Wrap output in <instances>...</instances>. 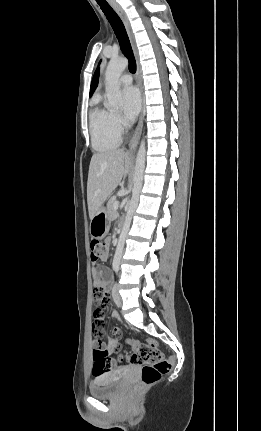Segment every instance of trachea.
I'll return each mask as SVG.
<instances>
[{
  "instance_id": "1",
  "label": "trachea",
  "mask_w": 261,
  "mask_h": 431,
  "mask_svg": "<svg viewBox=\"0 0 261 431\" xmlns=\"http://www.w3.org/2000/svg\"><path fill=\"white\" fill-rule=\"evenodd\" d=\"M101 10L108 19L121 47L123 54L129 60V70L132 73L136 72V61L133 55L131 44L125 30L124 24L117 13L111 8L108 3H99Z\"/></svg>"
}]
</instances>
